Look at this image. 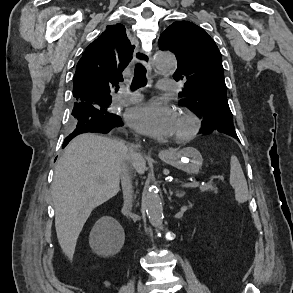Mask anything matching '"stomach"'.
I'll list each match as a JSON object with an SVG mask.
<instances>
[{"instance_id": "obj_1", "label": "stomach", "mask_w": 293, "mask_h": 293, "mask_svg": "<svg viewBox=\"0 0 293 293\" xmlns=\"http://www.w3.org/2000/svg\"><path fill=\"white\" fill-rule=\"evenodd\" d=\"M162 160L187 174H197L203 164L201 153L194 147H186L172 152Z\"/></svg>"}]
</instances>
